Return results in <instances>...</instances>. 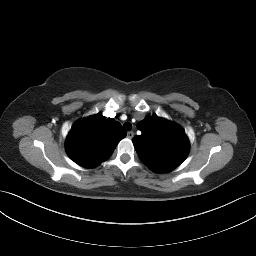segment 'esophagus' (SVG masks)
<instances>
[{
    "label": "esophagus",
    "mask_w": 256,
    "mask_h": 256,
    "mask_svg": "<svg viewBox=\"0 0 256 256\" xmlns=\"http://www.w3.org/2000/svg\"><path fill=\"white\" fill-rule=\"evenodd\" d=\"M133 136H134V132H132V131L127 132V137H128L129 139H132Z\"/></svg>",
    "instance_id": "1"
}]
</instances>
